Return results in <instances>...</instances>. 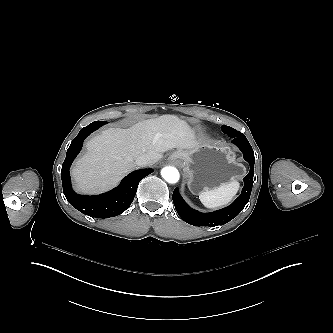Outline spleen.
<instances>
[{
    "label": "spleen",
    "mask_w": 333,
    "mask_h": 333,
    "mask_svg": "<svg viewBox=\"0 0 333 333\" xmlns=\"http://www.w3.org/2000/svg\"><path fill=\"white\" fill-rule=\"evenodd\" d=\"M239 188L237 181H230L220 183L218 187L213 189H204L199 198L201 202L207 207H217L230 202L232 197L236 194Z\"/></svg>",
    "instance_id": "obj_1"
}]
</instances>
